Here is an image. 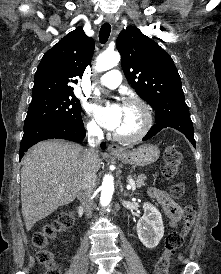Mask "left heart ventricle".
<instances>
[{"instance_id": "obj_1", "label": "left heart ventricle", "mask_w": 221, "mask_h": 274, "mask_svg": "<svg viewBox=\"0 0 221 274\" xmlns=\"http://www.w3.org/2000/svg\"><path fill=\"white\" fill-rule=\"evenodd\" d=\"M143 124V114L136 105H123L122 113L116 132L121 134H132L140 129Z\"/></svg>"}]
</instances>
